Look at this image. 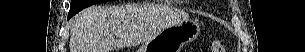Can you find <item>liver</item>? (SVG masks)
Returning a JSON list of instances; mask_svg holds the SVG:
<instances>
[{
	"label": "liver",
	"instance_id": "1",
	"mask_svg": "<svg viewBox=\"0 0 305 52\" xmlns=\"http://www.w3.org/2000/svg\"><path fill=\"white\" fill-rule=\"evenodd\" d=\"M160 31L149 25L144 7L95 5L72 19L70 52H112L147 42Z\"/></svg>",
	"mask_w": 305,
	"mask_h": 52
}]
</instances>
